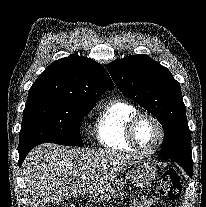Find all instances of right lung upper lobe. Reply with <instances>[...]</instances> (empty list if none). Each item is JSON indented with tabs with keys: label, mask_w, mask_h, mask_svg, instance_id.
<instances>
[{
	"label": "right lung upper lobe",
	"mask_w": 206,
	"mask_h": 207,
	"mask_svg": "<svg viewBox=\"0 0 206 207\" xmlns=\"http://www.w3.org/2000/svg\"><path fill=\"white\" fill-rule=\"evenodd\" d=\"M114 85L106 70L83 56L70 55L59 59L43 71L29 90L27 102L53 98L93 104Z\"/></svg>",
	"instance_id": "1"
}]
</instances>
